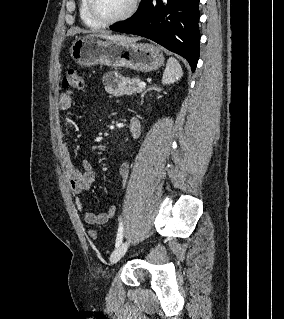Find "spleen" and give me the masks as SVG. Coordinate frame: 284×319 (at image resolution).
Wrapping results in <instances>:
<instances>
[{
    "instance_id": "spleen-1",
    "label": "spleen",
    "mask_w": 284,
    "mask_h": 319,
    "mask_svg": "<svg viewBox=\"0 0 284 319\" xmlns=\"http://www.w3.org/2000/svg\"><path fill=\"white\" fill-rule=\"evenodd\" d=\"M183 75L182 67L179 62L170 57L167 61L166 69L163 73L162 83L163 84H173L178 81Z\"/></svg>"
}]
</instances>
